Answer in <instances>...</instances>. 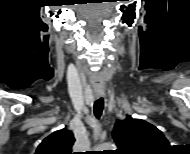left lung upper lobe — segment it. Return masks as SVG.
Instances as JSON below:
<instances>
[{
    "instance_id": "obj_1",
    "label": "left lung upper lobe",
    "mask_w": 190,
    "mask_h": 154,
    "mask_svg": "<svg viewBox=\"0 0 190 154\" xmlns=\"http://www.w3.org/2000/svg\"><path fill=\"white\" fill-rule=\"evenodd\" d=\"M113 138L119 154H162L170 147L168 140L155 126L131 116L117 121Z\"/></svg>"
}]
</instances>
